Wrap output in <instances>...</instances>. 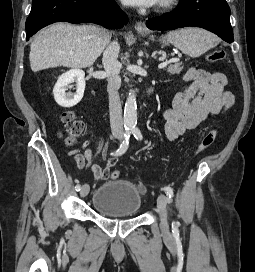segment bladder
<instances>
[{
  "instance_id": "bladder-1",
  "label": "bladder",
  "mask_w": 255,
  "mask_h": 272,
  "mask_svg": "<svg viewBox=\"0 0 255 272\" xmlns=\"http://www.w3.org/2000/svg\"><path fill=\"white\" fill-rule=\"evenodd\" d=\"M93 208L104 216H135L142 206V195L128 180L108 181L99 186L92 196Z\"/></svg>"
}]
</instances>
